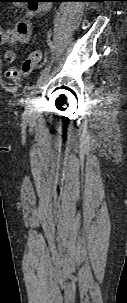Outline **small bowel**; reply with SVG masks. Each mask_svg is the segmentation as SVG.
Segmentation results:
<instances>
[{"instance_id":"c3829d8e","label":"small bowel","mask_w":127,"mask_h":303,"mask_svg":"<svg viewBox=\"0 0 127 303\" xmlns=\"http://www.w3.org/2000/svg\"><path fill=\"white\" fill-rule=\"evenodd\" d=\"M26 1L27 4L25 5L26 8L24 19H21L13 28L7 30H4L0 26V44H8L10 46L26 44L29 41L32 32V26L29 20L38 14L46 13L50 8V4L41 2L49 0ZM5 57L9 62L14 61V51L12 49H8L5 53Z\"/></svg>"}]
</instances>
